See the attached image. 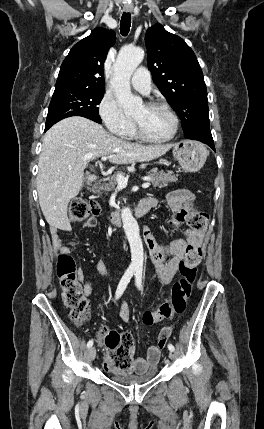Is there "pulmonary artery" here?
Segmentation results:
<instances>
[{
    "mask_svg": "<svg viewBox=\"0 0 264 429\" xmlns=\"http://www.w3.org/2000/svg\"><path fill=\"white\" fill-rule=\"evenodd\" d=\"M131 84L137 91L148 94L151 90L149 71L144 67L138 68L131 77Z\"/></svg>",
    "mask_w": 264,
    "mask_h": 429,
    "instance_id": "e3ab8cb5",
    "label": "pulmonary artery"
}]
</instances>
